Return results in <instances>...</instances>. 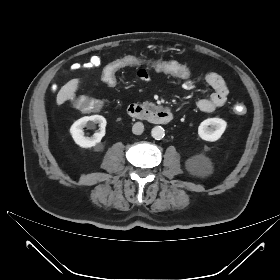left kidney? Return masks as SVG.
I'll return each instance as SVG.
<instances>
[{
	"instance_id": "left-kidney-1",
	"label": "left kidney",
	"mask_w": 280,
	"mask_h": 280,
	"mask_svg": "<svg viewBox=\"0 0 280 280\" xmlns=\"http://www.w3.org/2000/svg\"><path fill=\"white\" fill-rule=\"evenodd\" d=\"M227 122L221 118H208L198 127V135L205 141H217L224 133Z\"/></svg>"
}]
</instances>
